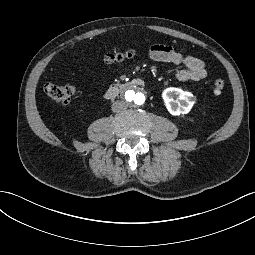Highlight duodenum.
<instances>
[{"label":"duodenum","instance_id":"obj_1","mask_svg":"<svg viewBox=\"0 0 255 255\" xmlns=\"http://www.w3.org/2000/svg\"><path fill=\"white\" fill-rule=\"evenodd\" d=\"M144 81L142 79H133L130 81H126V82H121V83H115L113 85H111L106 93H105V97L107 99H113L115 98L118 94H120L121 92L131 89L133 87H142L144 86Z\"/></svg>","mask_w":255,"mask_h":255}]
</instances>
